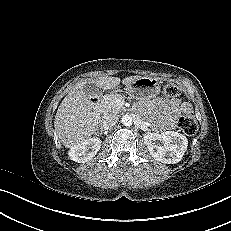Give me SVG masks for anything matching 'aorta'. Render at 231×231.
Segmentation results:
<instances>
[{
  "label": "aorta",
  "mask_w": 231,
  "mask_h": 231,
  "mask_svg": "<svg viewBox=\"0 0 231 231\" xmlns=\"http://www.w3.org/2000/svg\"><path fill=\"white\" fill-rule=\"evenodd\" d=\"M121 122L125 126H131L132 125V117L130 115H123Z\"/></svg>",
  "instance_id": "762f6f07"
}]
</instances>
